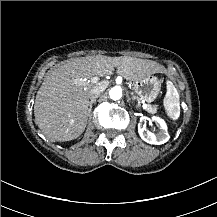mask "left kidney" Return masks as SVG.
Returning <instances> with one entry per match:
<instances>
[{
    "mask_svg": "<svg viewBox=\"0 0 217 217\" xmlns=\"http://www.w3.org/2000/svg\"><path fill=\"white\" fill-rule=\"evenodd\" d=\"M155 122L159 124V132L157 134L149 131L146 129V125H142L143 118L140 119V122L138 124V133L142 140L149 144H155L160 145L167 142L170 138L168 132H167V125L165 121L159 117H153L152 118Z\"/></svg>",
    "mask_w": 217,
    "mask_h": 217,
    "instance_id": "5707ae66",
    "label": "left kidney"
}]
</instances>
